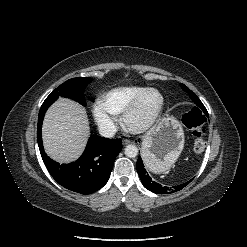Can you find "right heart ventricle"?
Returning <instances> with one entry per match:
<instances>
[{"label": "right heart ventricle", "mask_w": 247, "mask_h": 247, "mask_svg": "<svg viewBox=\"0 0 247 247\" xmlns=\"http://www.w3.org/2000/svg\"><path fill=\"white\" fill-rule=\"evenodd\" d=\"M147 89L142 86L118 87L105 93L100 102L113 115H120L130 102L142 91Z\"/></svg>", "instance_id": "obj_1"}]
</instances>
